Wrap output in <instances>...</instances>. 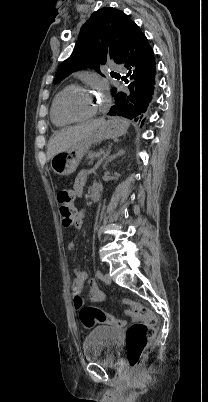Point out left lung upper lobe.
I'll return each mask as SVG.
<instances>
[{
    "label": "left lung upper lobe",
    "mask_w": 208,
    "mask_h": 402,
    "mask_svg": "<svg viewBox=\"0 0 208 402\" xmlns=\"http://www.w3.org/2000/svg\"><path fill=\"white\" fill-rule=\"evenodd\" d=\"M133 23L125 13L112 7L94 12L82 26L73 53L60 65L54 83L85 67L101 74L100 66L107 60L117 62Z\"/></svg>",
    "instance_id": "1"
}]
</instances>
